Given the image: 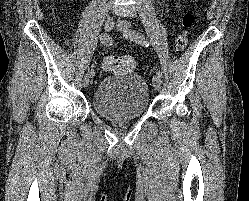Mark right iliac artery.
Listing matches in <instances>:
<instances>
[{
	"label": "right iliac artery",
	"instance_id": "obj_1",
	"mask_svg": "<svg viewBox=\"0 0 249 201\" xmlns=\"http://www.w3.org/2000/svg\"><path fill=\"white\" fill-rule=\"evenodd\" d=\"M100 40H101V43L105 46L111 45V38L109 37V35L107 33L101 34ZM88 74L90 75V77H93L95 75V72H94V70H89Z\"/></svg>",
	"mask_w": 249,
	"mask_h": 201
}]
</instances>
